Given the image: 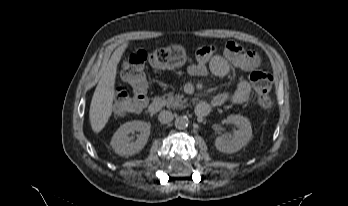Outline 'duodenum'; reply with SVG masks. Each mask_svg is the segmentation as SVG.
Listing matches in <instances>:
<instances>
[{"label": "duodenum", "mask_w": 348, "mask_h": 206, "mask_svg": "<svg viewBox=\"0 0 348 206\" xmlns=\"http://www.w3.org/2000/svg\"><path fill=\"white\" fill-rule=\"evenodd\" d=\"M164 106V102L160 99L154 100L148 107V113L150 115H155L158 113ZM211 105L208 103H200L196 108V113L199 116H206L211 112Z\"/></svg>", "instance_id": "obj_1"}]
</instances>
